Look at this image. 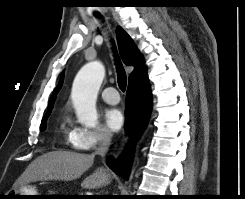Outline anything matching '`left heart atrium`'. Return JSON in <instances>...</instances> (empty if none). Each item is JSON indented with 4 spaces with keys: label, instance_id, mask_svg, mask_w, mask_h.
Masks as SVG:
<instances>
[{
    "label": "left heart atrium",
    "instance_id": "1",
    "mask_svg": "<svg viewBox=\"0 0 245 199\" xmlns=\"http://www.w3.org/2000/svg\"><path fill=\"white\" fill-rule=\"evenodd\" d=\"M105 123L111 131H119L124 124L122 112L116 108L108 109L105 113Z\"/></svg>",
    "mask_w": 245,
    "mask_h": 199
}]
</instances>
